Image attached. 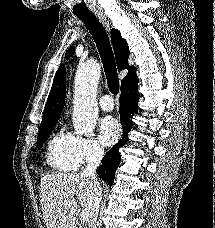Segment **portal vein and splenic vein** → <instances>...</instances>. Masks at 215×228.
Wrapping results in <instances>:
<instances>
[{"mask_svg":"<svg viewBox=\"0 0 215 228\" xmlns=\"http://www.w3.org/2000/svg\"><path fill=\"white\" fill-rule=\"evenodd\" d=\"M80 214H81L83 220H86V222H87V220H89V212H88V210H82V212H80Z\"/></svg>","mask_w":215,"mask_h":228,"instance_id":"obj_1","label":"portal vein and splenic vein"}]
</instances>
